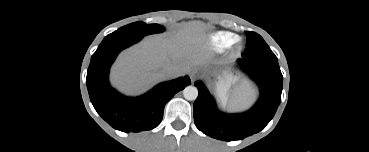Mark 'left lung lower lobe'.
<instances>
[{"mask_svg":"<svg viewBox=\"0 0 369 152\" xmlns=\"http://www.w3.org/2000/svg\"><path fill=\"white\" fill-rule=\"evenodd\" d=\"M239 64L260 88V99L242 114H224L202 82H196L199 95L194 102V121L204 134L223 141L244 139L261 131L273 118L281 101L283 76L278 60L242 57Z\"/></svg>","mask_w":369,"mask_h":152,"instance_id":"left-lung-lower-lobe-1","label":"left lung lower lobe"}]
</instances>
